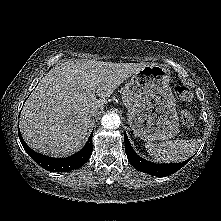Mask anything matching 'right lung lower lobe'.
I'll list each match as a JSON object with an SVG mask.
<instances>
[{"mask_svg":"<svg viewBox=\"0 0 221 221\" xmlns=\"http://www.w3.org/2000/svg\"><path fill=\"white\" fill-rule=\"evenodd\" d=\"M18 136L20 139V142L25 149V151L28 153V155L41 167L48 171L53 172H64V171H70L72 169L80 168L85 162L88 161L92 154V136L93 132L89 136V139L85 146L76 154L67 157V158H52L48 156H44L42 154H39L35 151H33L26 143L24 142L20 131L18 130Z\"/></svg>","mask_w":221,"mask_h":221,"instance_id":"98d812e1","label":"right lung lower lobe"}]
</instances>
